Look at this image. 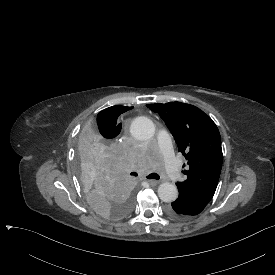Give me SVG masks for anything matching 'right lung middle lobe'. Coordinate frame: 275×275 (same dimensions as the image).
Returning <instances> with one entry per match:
<instances>
[{
    "label": "right lung middle lobe",
    "instance_id": "right-lung-middle-lobe-1",
    "mask_svg": "<svg viewBox=\"0 0 275 275\" xmlns=\"http://www.w3.org/2000/svg\"><path fill=\"white\" fill-rule=\"evenodd\" d=\"M77 172L89 205L111 220L125 218L132 210V186L122 170L117 145L103 142L101 129L88 123L77 141Z\"/></svg>",
    "mask_w": 275,
    "mask_h": 275
}]
</instances>
